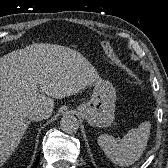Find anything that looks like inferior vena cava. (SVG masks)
I'll return each instance as SVG.
<instances>
[{
  "label": "inferior vena cava",
  "instance_id": "obj_1",
  "mask_svg": "<svg viewBox=\"0 0 168 168\" xmlns=\"http://www.w3.org/2000/svg\"><path fill=\"white\" fill-rule=\"evenodd\" d=\"M48 117H49V114L39 108L32 109L27 114V118L31 121H40Z\"/></svg>",
  "mask_w": 168,
  "mask_h": 168
}]
</instances>
